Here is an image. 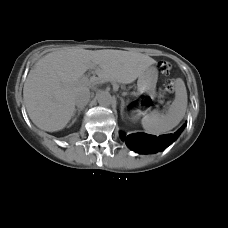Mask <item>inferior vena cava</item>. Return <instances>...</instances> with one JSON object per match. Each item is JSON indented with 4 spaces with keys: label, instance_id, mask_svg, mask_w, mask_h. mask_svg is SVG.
Here are the masks:
<instances>
[{
    "label": "inferior vena cava",
    "instance_id": "inferior-vena-cava-1",
    "mask_svg": "<svg viewBox=\"0 0 228 228\" xmlns=\"http://www.w3.org/2000/svg\"><path fill=\"white\" fill-rule=\"evenodd\" d=\"M90 100L89 90H80L74 95V103L78 108H84Z\"/></svg>",
    "mask_w": 228,
    "mask_h": 228
}]
</instances>
